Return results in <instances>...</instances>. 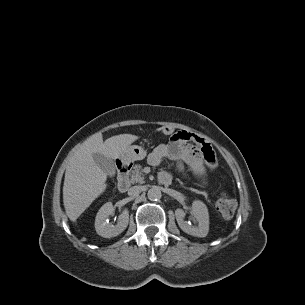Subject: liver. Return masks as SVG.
I'll list each match as a JSON object with an SVG mask.
<instances>
[{
	"label": "liver",
	"instance_id": "obj_1",
	"mask_svg": "<svg viewBox=\"0 0 305 305\" xmlns=\"http://www.w3.org/2000/svg\"><path fill=\"white\" fill-rule=\"evenodd\" d=\"M138 138L120 134L103 141L102 134L96 133L76 149L66 167L63 185V203L71 221L75 222L107 187V174L94 162L93 154L119 158Z\"/></svg>",
	"mask_w": 305,
	"mask_h": 305
}]
</instances>
